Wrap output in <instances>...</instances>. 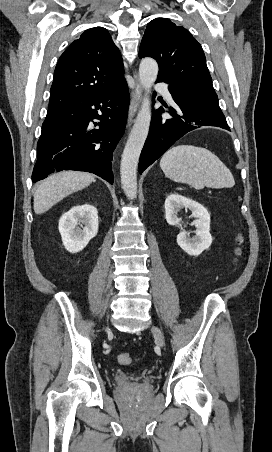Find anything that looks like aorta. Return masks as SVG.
Returning <instances> with one entry per match:
<instances>
[{"mask_svg":"<svg viewBox=\"0 0 272 452\" xmlns=\"http://www.w3.org/2000/svg\"><path fill=\"white\" fill-rule=\"evenodd\" d=\"M157 75V62L152 58L142 59L139 66V80L145 90V95L126 142L120 166L122 188L127 198L131 200L137 196V166L151 122V101L148 94Z\"/></svg>","mask_w":272,"mask_h":452,"instance_id":"aorta-1","label":"aorta"}]
</instances>
